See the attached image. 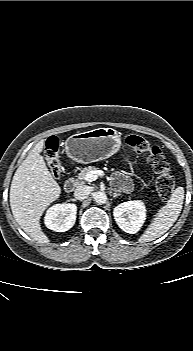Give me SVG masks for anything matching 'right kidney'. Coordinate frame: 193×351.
I'll return each instance as SVG.
<instances>
[{"instance_id": "ca27d5eb", "label": "right kidney", "mask_w": 193, "mask_h": 351, "mask_svg": "<svg viewBox=\"0 0 193 351\" xmlns=\"http://www.w3.org/2000/svg\"><path fill=\"white\" fill-rule=\"evenodd\" d=\"M77 206L62 203L50 207L45 215V225L56 232H65L72 228L76 221Z\"/></svg>"}]
</instances>
